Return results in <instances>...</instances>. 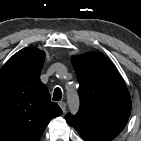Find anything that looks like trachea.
Segmentation results:
<instances>
[{
	"mask_svg": "<svg viewBox=\"0 0 141 141\" xmlns=\"http://www.w3.org/2000/svg\"><path fill=\"white\" fill-rule=\"evenodd\" d=\"M62 98V92L60 88H55L54 94H53V100L54 101H59Z\"/></svg>",
	"mask_w": 141,
	"mask_h": 141,
	"instance_id": "obj_1",
	"label": "trachea"
}]
</instances>
